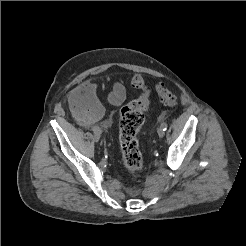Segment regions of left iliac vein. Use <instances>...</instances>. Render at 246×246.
I'll return each instance as SVG.
<instances>
[{
    "instance_id": "1",
    "label": "left iliac vein",
    "mask_w": 246,
    "mask_h": 246,
    "mask_svg": "<svg viewBox=\"0 0 246 246\" xmlns=\"http://www.w3.org/2000/svg\"><path fill=\"white\" fill-rule=\"evenodd\" d=\"M164 135H165V132H164V130L160 127V128L158 129V136H159L160 138H162Z\"/></svg>"
}]
</instances>
